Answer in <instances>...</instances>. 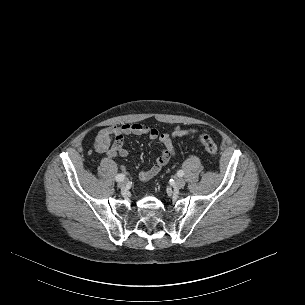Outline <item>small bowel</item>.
<instances>
[{
    "label": "small bowel",
    "instance_id": "obj_1",
    "mask_svg": "<svg viewBox=\"0 0 305 305\" xmlns=\"http://www.w3.org/2000/svg\"><path fill=\"white\" fill-rule=\"evenodd\" d=\"M196 130L185 126H174L171 134L160 133L156 128L147 125L133 123L121 126H108L101 129L95 140L96 150L110 158L128 157L129 152L123 147L124 138L128 135H146L150 139H156L162 145L160 155L155 159L154 164L146 170L141 171L140 178L144 181L152 179L159 171L166 166L175 155L172 138L182 139L194 135Z\"/></svg>",
    "mask_w": 305,
    "mask_h": 305
}]
</instances>
